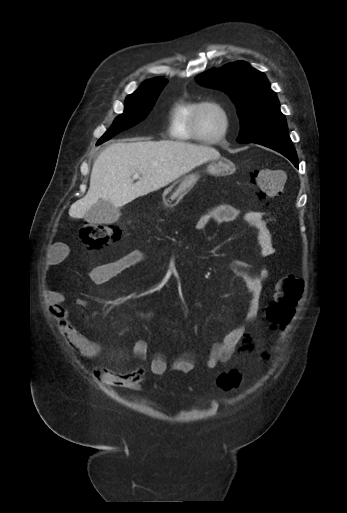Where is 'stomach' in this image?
<instances>
[{
	"mask_svg": "<svg viewBox=\"0 0 347 513\" xmlns=\"http://www.w3.org/2000/svg\"><path fill=\"white\" fill-rule=\"evenodd\" d=\"M235 165L232 161L221 158L212 160L207 166V172L213 176H226L232 172ZM199 179L197 173L184 174L163 192V203L167 207H172L187 194Z\"/></svg>",
	"mask_w": 347,
	"mask_h": 513,
	"instance_id": "0dacf381",
	"label": "stomach"
}]
</instances>
